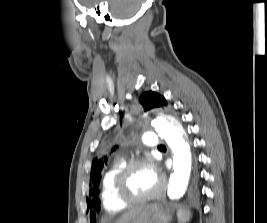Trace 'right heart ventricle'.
<instances>
[{"label":"right heart ventricle","mask_w":267,"mask_h":223,"mask_svg":"<svg viewBox=\"0 0 267 223\" xmlns=\"http://www.w3.org/2000/svg\"><path fill=\"white\" fill-rule=\"evenodd\" d=\"M124 165V159H117L102 178L101 202L104 209L108 212H119L125 208V204L117 198L113 188L114 179Z\"/></svg>","instance_id":"e07e8e85"}]
</instances>
